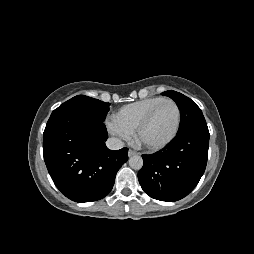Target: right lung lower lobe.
Returning <instances> with one entry per match:
<instances>
[{
	"label": "right lung lower lobe",
	"instance_id": "1",
	"mask_svg": "<svg viewBox=\"0 0 254 254\" xmlns=\"http://www.w3.org/2000/svg\"><path fill=\"white\" fill-rule=\"evenodd\" d=\"M102 121L77 113L50 116L43 133L48 172L59 191L76 202L105 197L128 160L127 148L109 150Z\"/></svg>",
	"mask_w": 254,
	"mask_h": 254
}]
</instances>
